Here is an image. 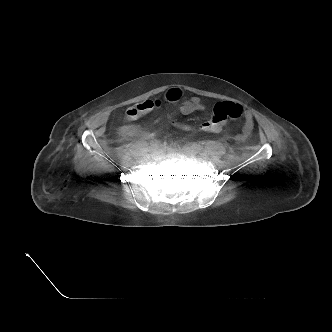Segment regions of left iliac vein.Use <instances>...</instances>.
Returning a JSON list of instances; mask_svg holds the SVG:
<instances>
[{
	"label": "left iliac vein",
	"mask_w": 332,
	"mask_h": 332,
	"mask_svg": "<svg viewBox=\"0 0 332 332\" xmlns=\"http://www.w3.org/2000/svg\"><path fill=\"white\" fill-rule=\"evenodd\" d=\"M183 152L185 154H187L188 156H191V157L195 156V152L193 151V149H191V147H189L187 145L183 147Z\"/></svg>",
	"instance_id": "4c4485c4"
}]
</instances>
